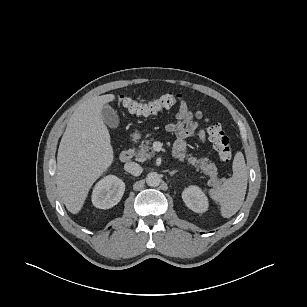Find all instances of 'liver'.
Returning <instances> with one entry per match:
<instances>
[{"mask_svg": "<svg viewBox=\"0 0 307 307\" xmlns=\"http://www.w3.org/2000/svg\"><path fill=\"white\" fill-rule=\"evenodd\" d=\"M114 99V94H106L84 101L70 117L62 136L56 184L59 196L72 214L82 209L89 189L113 162L110 134L101 112Z\"/></svg>", "mask_w": 307, "mask_h": 307, "instance_id": "6515ba94", "label": "liver"}]
</instances>
